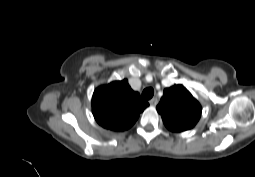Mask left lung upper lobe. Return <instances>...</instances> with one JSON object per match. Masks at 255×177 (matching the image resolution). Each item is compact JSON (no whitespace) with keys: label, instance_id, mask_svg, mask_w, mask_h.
Here are the masks:
<instances>
[{"label":"left lung upper lobe","instance_id":"5c2ea615","mask_svg":"<svg viewBox=\"0 0 255 177\" xmlns=\"http://www.w3.org/2000/svg\"><path fill=\"white\" fill-rule=\"evenodd\" d=\"M167 129L183 132L192 129L201 117L200 103L183 85H174L164 90L156 107Z\"/></svg>","mask_w":255,"mask_h":177}]
</instances>
